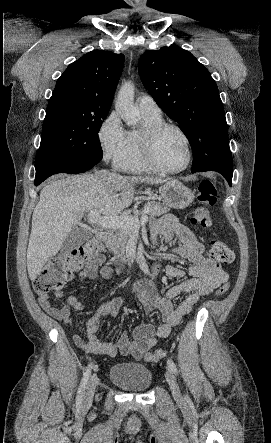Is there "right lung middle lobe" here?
<instances>
[{
  "label": "right lung middle lobe",
  "mask_w": 271,
  "mask_h": 443,
  "mask_svg": "<svg viewBox=\"0 0 271 443\" xmlns=\"http://www.w3.org/2000/svg\"><path fill=\"white\" fill-rule=\"evenodd\" d=\"M108 113H95L70 102L48 104L35 167L63 159H102L98 132Z\"/></svg>",
  "instance_id": "obj_1"
}]
</instances>
